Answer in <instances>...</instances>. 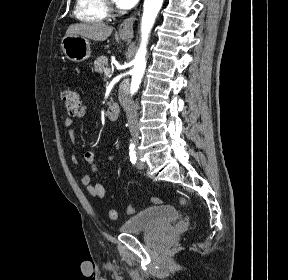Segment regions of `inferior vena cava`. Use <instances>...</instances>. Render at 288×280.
<instances>
[{
    "label": "inferior vena cava",
    "instance_id": "602c4592",
    "mask_svg": "<svg viewBox=\"0 0 288 280\" xmlns=\"http://www.w3.org/2000/svg\"><path fill=\"white\" fill-rule=\"evenodd\" d=\"M130 78H121L119 85V97L117 99V104H121V109L126 110L127 114V126H130V137H132L135 143H140L141 139V125L139 121V113L137 110L139 109L138 105H134V102H129L128 94H129V86ZM131 101L135 100L134 96L130 97Z\"/></svg>",
    "mask_w": 288,
    "mask_h": 280
}]
</instances>
